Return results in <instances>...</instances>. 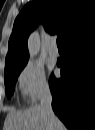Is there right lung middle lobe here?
I'll return each instance as SVG.
<instances>
[{
	"mask_svg": "<svg viewBox=\"0 0 95 130\" xmlns=\"http://www.w3.org/2000/svg\"><path fill=\"white\" fill-rule=\"evenodd\" d=\"M24 66L4 71L6 93L9 98L11 97L14 91L13 84L17 81L18 75L20 74Z\"/></svg>",
	"mask_w": 95,
	"mask_h": 130,
	"instance_id": "right-lung-middle-lobe-1",
	"label": "right lung middle lobe"
}]
</instances>
